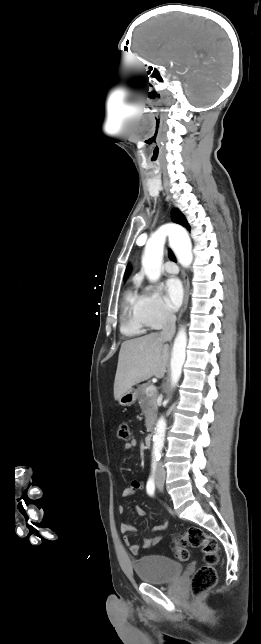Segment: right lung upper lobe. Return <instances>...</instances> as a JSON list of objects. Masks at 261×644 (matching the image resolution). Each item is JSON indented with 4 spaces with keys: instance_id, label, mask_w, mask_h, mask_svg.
Wrapping results in <instances>:
<instances>
[{
    "instance_id": "cb5924a9",
    "label": "right lung upper lobe",
    "mask_w": 261,
    "mask_h": 644,
    "mask_svg": "<svg viewBox=\"0 0 261 644\" xmlns=\"http://www.w3.org/2000/svg\"><path fill=\"white\" fill-rule=\"evenodd\" d=\"M171 215H172L173 222L178 223V224L186 227L188 230H190V226L188 225V223L186 221V218L184 217V215L178 209H173ZM129 273H130V268L127 267V269L125 271L124 279L127 278Z\"/></svg>"
}]
</instances>
